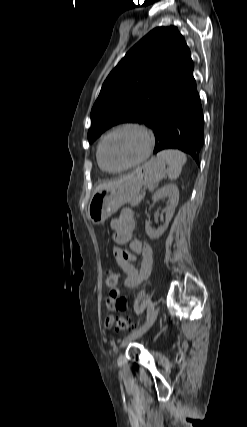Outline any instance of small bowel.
<instances>
[{"mask_svg":"<svg viewBox=\"0 0 247 427\" xmlns=\"http://www.w3.org/2000/svg\"><path fill=\"white\" fill-rule=\"evenodd\" d=\"M112 239L116 245L128 244L131 252L114 248V255L120 268L126 274L124 285L127 288L135 289L148 278L153 266V251L151 246L140 239L134 238L135 230L134 214L130 210H123L121 215L112 220ZM135 254L141 256V266L137 269L132 263L136 260ZM108 309L113 313L127 307L125 298L120 297L118 289L112 290L106 300ZM114 322L113 314L106 320V326L111 327Z\"/></svg>","mask_w":247,"mask_h":427,"instance_id":"c3829d8e","label":"small bowel"}]
</instances>
